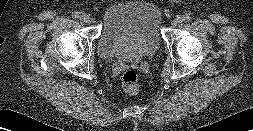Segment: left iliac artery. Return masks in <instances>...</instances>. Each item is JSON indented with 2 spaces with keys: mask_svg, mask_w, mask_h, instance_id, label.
Returning a JSON list of instances; mask_svg holds the SVG:
<instances>
[{
  "mask_svg": "<svg viewBox=\"0 0 253 131\" xmlns=\"http://www.w3.org/2000/svg\"><path fill=\"white\" fill-rule=\"evenodd\" d=\"M181 20L184 22H188L191 20V16L189 14H185L181 17Z\"/></svg>",
  "mask_w": 253,
  "mask_h": 131,
  "instance_id": "1",
  "label": "left iliac artery"
}]
</instances>
